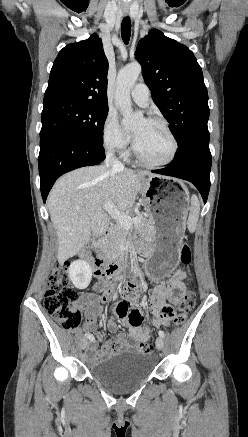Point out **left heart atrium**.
I'll use <instances>...</instances> for the list:
<instances>
[{"label": "left heart atrium", "instance_id": "1", "mask_svg": "<svg viewBox=\"0 0 248 437\" xmlns=\"http://www.w3.org/2000/svg\"><path fill=\"white\" fill-rule=\"evenodd\" d=\"M133 136H134V138H136V137H137V134H136V133H134V135H133Z\"/></svg>", "mask_w": 248, "mask_h": 437}]
</instances>
